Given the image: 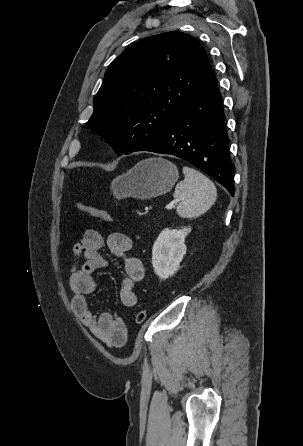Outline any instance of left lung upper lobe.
I'll return each mask as SVG.
<instances>
[{"mask_svg":"<svg viewBox=\"0 0 303 446\" xmlns=\"http://www.w3.org/2000/svg\"><path fill=\"white\" fill-rule=\"evenodd\" d=\"M215 76L191 35L167 32L139 41L109 66L86 127L130 154L166 131L187 101Z\"/></svg>","mask_w":303,"mask_h":446,"instance_id":"obj_1","label":"left lung upper lobe"}]
</instances>
